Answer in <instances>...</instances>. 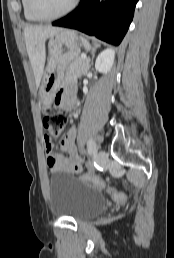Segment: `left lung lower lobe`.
Segmentation results:
<instances>
[{"mask_svg": "<svg viewBox=\"0 0 174 258\" xmlns=\"http://www.w3.org/2000/svg\"><path fill=\"white\" fill-rule=\"evenodd\" d=\"M138 0H81L79 6L52 25L79 30L113 45H119L134 15Z\"/></svg>", "mask_w": 174, "mask_h": 258, "instance_id": "0a47b994", "label": "left lung lower lobe"}]
</instances>
